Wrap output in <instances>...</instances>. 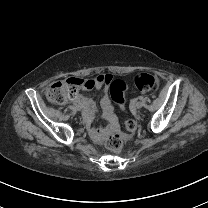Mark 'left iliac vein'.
<instances>
[{
    "label": "left iliac vein",
    "mask_w": 208,
    "mask_h": 208,
    "mask_svg": "<svg viewBox=\"0 0 208 208\" xmlns=\"http://www.w3.org/2000/svg\"><path fill=\"white\" fill-rule=\"evenodd\" d=\"M142 106H143V102L139 101V102L136 103V107L138 109L142 108Z\"/></svg>",
    "instance_id": "4c4485c4"
}]
</instances>
